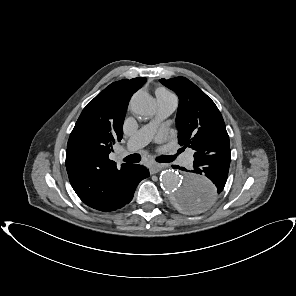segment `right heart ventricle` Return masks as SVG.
Returning a JSON list of instances; mask_svg holds the SVG:
<instances>
[{"instance_id": "right-heart-ventricle-1", "label": "right heart ventricle", "mask_w": 296, "mask_h": 296, "mask_svg": "<svg viewBox=\"0 0 296 296\" xmlns=\"http://www.w3.org/2000/svg\"><path fill=\"white\" fill-rule=\"evenodd\" d=\"M156 94H170V92L163 87H159L156 89Z\"/></svg>"}]
</instances>
